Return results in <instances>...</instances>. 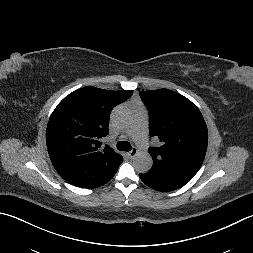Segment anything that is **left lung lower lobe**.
I'll return each mask as SVG.
<instances>
[{"label": "left lung lower lobe", "instance_id": "obj_1", "mask_svg": "<svg viewBox=\"0 0 253 253\" xmlns=\"http://www.w3.org/2000/svg\"><path fill=\"white\" fill-rule=\"evenodd\" d=\"M139 177L149 187L162 192H168L181 188L189 182L181 178L159 175L150 172L139 174Z\"/></svg>", "mask_w": 253, "mask_h": 253}]
</instances>
